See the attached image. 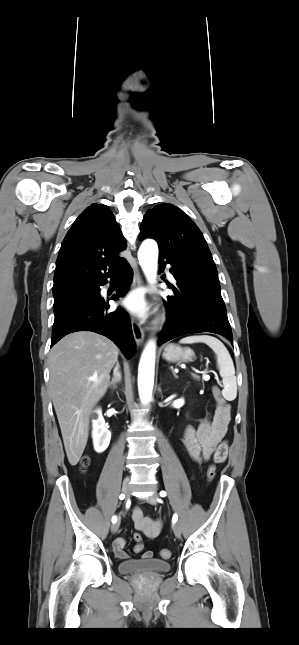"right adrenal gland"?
Masks as SVG:
<instances>
[{
	"label": "right adrenal gland",
	"mask_w": 299,
	"mask_h": 645,
	"mask_svg": "<svg viewBox=\"0 0 299 645\" xmlns=\"http://www.w3.org/2000/svg\"><path fill=\"white\" fill-rule=\"evenodd\" d=\"M121 377L122 376L120 372V365H119V362L117 361L116 366L114 368L113 378L109 384V387L115 390L117 388V384L121 382V379H122Z\"/></svg>",
	"instance_id": "obj_1"
}]
</instances>
